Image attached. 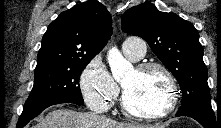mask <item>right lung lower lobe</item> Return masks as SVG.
<instances>
[{"label": "right lung lower lobe", "instance_id": "98d812e1", "mask_svg": "<svg viewBox=\"0 0 221 128\" xmlns=\"http://www.w3.org/2000/svg\"><path fill=\"white\" fill-rule=\"evenodd\" d=\"M61 103H74L77 105H81L77 102L71 101V100H65V99H52L47 100L44 102H41L39 104L23 108V112L18 120L17 128H23L31 119L36 117L38 114H40L44 109L51 105L55 104H61Z\"/></svg>", "mask_w": 221, "mask_h": 128}]
</instances>
